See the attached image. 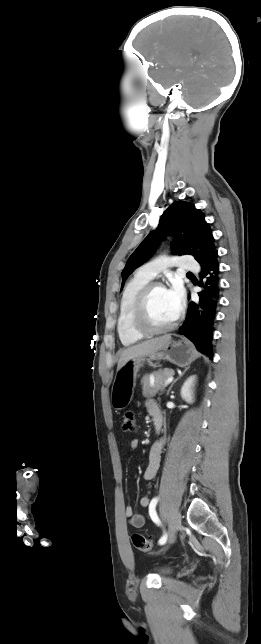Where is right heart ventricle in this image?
Wrapping results in <instances>:
<instances>
[{"label": "right heart ventricle", "instance_id": "obj_1", "mask_svg": "<svg viewBox=\"0 0 261 644\" xmlns=\"http://www.w3.org/2000/svg\"><path fill=\"white\" fill-rule=\"evenodd\" d=\"M151 279L141 272H137L123 289L117 320V333L121 343L125 346L133 345L144 337L132 326V311L137 295Z\"/></svg>", "mask_w": 261, "mask_h": 644}]
</instances>
